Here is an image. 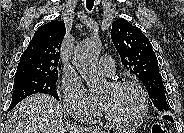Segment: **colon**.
Segmentation results:
<instances>
[{
	"label": "colon",
	"instance_id": "1",
	"mask_svg": "<svg viewBox=\"0 0 184 133\" xmlns=\"http://www.w3.org/2000/svg\"><path fill=\"white\" fill-rule=\"evenodd\" d=\"M152 133H168V130L164 125L156 124L152 128Z\"/></svg>",
	"mask_w": 184,
	"mask_h": 133
}]
</instances>
